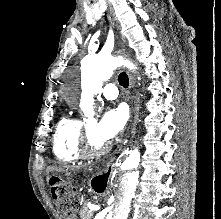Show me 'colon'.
I'll list each match as a JSON object with an SVG mask.
<instances>
[{"mask_svg": "<svg viewBox=\"0 0 221 219\" xmlns=\"http://www.w3.org/2000/svg\"><path fill=\"white\" fill-rule=\"evenodd\" d=\"M52 189L54 192L64 197L66 201L70 202L69 209L72 211L75 206V192L70 190L69 187L63 182H54Z\"/></svg>", "mask_w": 221, "mask_h": 219, "instance_id": "colon-1", "label": "colon"}]
</instances>
